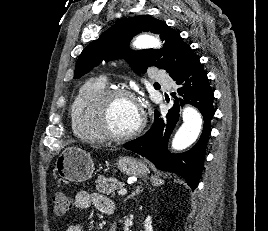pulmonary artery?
<instances>
[{"label":"pulmonary artery","instance_id":"1","mask_svg":"<svg viewBox=\"0 0 268 231\" xmlns=\"http://www.w3.org/2000/svg\"><path fill=\"white\" fill-rule=\"evenodd\" d=\"M151 76L157 80L159 83H161L163 86H165L166 90L171 89V83H164V80L167 78V75L165 72L154 70L153 73H151Z\"/></svg>","mask_w":268,"mask_h":231}]
</instances>
